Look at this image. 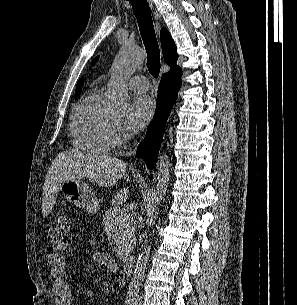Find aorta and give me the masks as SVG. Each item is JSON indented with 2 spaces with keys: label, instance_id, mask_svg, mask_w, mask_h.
<instances>
[{
  "label": "aorta",
  "instance_id": "aorta-1",
  "mask_svg": "<svg viewBox=\"0 0 297 305\" xmlns=\"http://www.w3.org/2000/svg\"><path fill=\"white\" fill-rule=\"evenodd\" d=\"M144 58L145 54L143 50L137 47L124 45L120 49L112 65V76L108 87L107 108L109 111L115 114H124L126 112L128 106L126 79L143 63ZM169 167L168 155L163 153L159 156L157 164L156 189L153 199L155 206H159L166 195L170 178ZM150 250L151 246L149 241L139 254L132 279L129 283L128 295L131 297L137 296L139 292Z\"/></svg>",
  "mask_w": 297,
  "mask_h": 305
}]
</instances>
